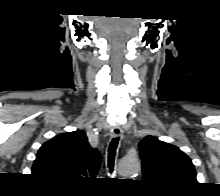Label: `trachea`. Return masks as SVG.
Instances as JSON below:
<instances>
[{"label":"trachea","instance_id":"3493384b","mask_svg":"<svg viewBox=\"0 0 220 196\" xmlns=\"http://www.w3.org/2000/svg\"><path fill=\"white\" fill-rule=\"evenodd\" d=\"M119 144V137L113 138L108 148V167L110 173L113 172L116 150Z\"/></svg>","mask_w":220,"mask_h":196}]
</instances>
